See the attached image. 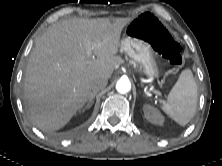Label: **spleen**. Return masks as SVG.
<instances>
[{"label": "spleen", "mask_w": 222, "mask_h": 166, "mask_svg": "<svg viewBox=\"0 0 222 166\" xmlns=\"http://www.w3.org/2000/svg\"><path fill=\"white\" fill-rule=\"evenodd\" d=\"M197 107V84L190 69L181 72L168 94L162 110L175 122L185 126L193 118Z\"/></svg>", "instance_id": "3e777b00"}]
</instances>
